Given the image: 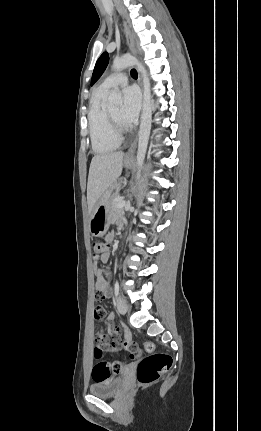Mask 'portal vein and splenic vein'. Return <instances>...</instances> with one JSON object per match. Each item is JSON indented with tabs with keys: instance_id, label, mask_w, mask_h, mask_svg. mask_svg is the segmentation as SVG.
<instances>
[{
	"instance_id": "portal-vein-and-splenic-vein-1",
	"label": "portal vein and splenic vein",
	"mask_w": 261,
	"mask_h": 431,
	"mask_svg": "<svg viewBox=\"0 0 261 431\" xmlns=\"http://www.w3.org/2000/svg\"><path fill=\"white\" fill-rule=\"evenodd\" d=\"M124 205H125V201H124V200H121V201L117 204L118 208H123V207H124Z\"/></svg>"
}]
</instances>
